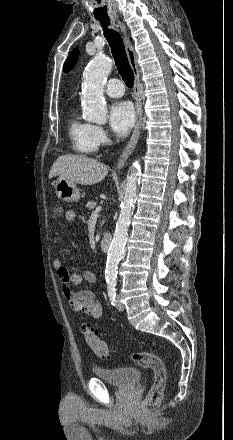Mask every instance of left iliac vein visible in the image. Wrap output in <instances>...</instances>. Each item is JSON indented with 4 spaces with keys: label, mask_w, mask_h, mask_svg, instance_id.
Here are the masks:
<instances>
[{
    "label": "left iliac vein",
    "mask_w": 233,
    "mask_h": 440,
    "mask_svg": "<svg viewBox=\"0 0 233 440\" xmlns=\"http://www.w3.org/2000/svg\"><path fill=\"white\" fill-rule=\"evenodd\" d=\"M116 307L119 311H123L125 309L124 305L120 301V297H116Z\"/></svg>",
    "instance_id": "1"
}]
</instances>
